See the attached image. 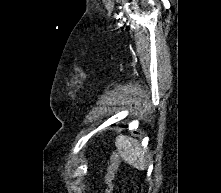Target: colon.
I'll list each match as a JSON object with an SVG mask.
<instances>
[{
  "label": "colon",
  "mask_w": 221,
  "mask_h": 193,
  "mask_svg": "<svg viewBox=\"0 0 221 193\" xmlns=\"http://www.w3.org/2000/svg\"><path fill=\"white\" fill-rule=\"evenodd\" d=\"M119 165V157L116 153L112 152L110 154V162L105 175L106 193H113L115 176L119 168Z\"/></svg>",
  "instance_id": "1"
}]
</instances>
